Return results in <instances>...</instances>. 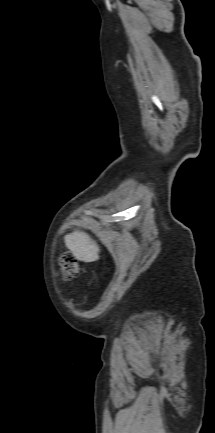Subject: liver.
Here are the masks:
<instances>
[{
  "label": "liver",
  "instance_id": "1",
  "mask_svg": "<svg viewBox=\"0 0 215 433\" xmlns=\"http://www.w3.org/2000/svg\"><path fill=\"white\" fill-rule=\"evenodd\" d=\"M64 240L66 247L77 260L89 263L99 259V246L85 232L67 234Z\"/></svg>",
  "mask_w": 215,
  "mask_h": 433
}]
</instances>
